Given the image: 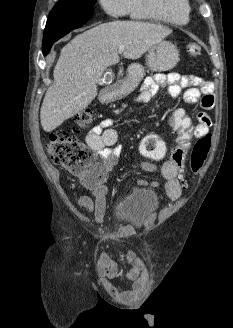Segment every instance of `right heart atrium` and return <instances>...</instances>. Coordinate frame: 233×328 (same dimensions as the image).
I'll return each instance as SVG.
<instances>
[{
	"label": "right heart atrium",
	"instance_id": "d8ad5b80",
	"mask_svg": "<svg viewBox=\"0 0 233 328\" xmlns=\"http://www.w3.org/2000/svg\"><path fill=\"white\" fill-rule=\"evenodd\" d=\"M104 11L113 17H119L127 12L128 0H99Z\"/></svg>",
	"mask_w": 233,
	"mask_h": 328
}]
</instances>
